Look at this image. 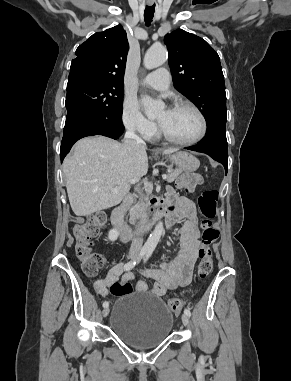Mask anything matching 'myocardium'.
Returning <instances> with one entry per match:
<instances>
[{
  "instance_id": "obj_1",
  "label": "myocardium",
  "mask_w": 291,
  "mask_h": 381,
  "mask_svg": "<svg viewBox=\"0 0 291 381\" xmlns=\"http://www.w3.org/2000/svg\"><path fill=\"white\" fill-rule=\"evenodd\" d=\"M183 107L190 108L199 116L200 121H201V129H200V132L198 133V135L196 137H194L193 139H190V140H179V139L172 137L167 132H165L159 123L157 125L158 134L163 139H165L166 141H168L172 144L180 145V146H191V145H194V144L200 142L205 137L207 130H208V122H207V118H206L205 114L202 112V110L197 105H195L194 103H192L190 101H186V100L177 101L170 107V109H177V108H183Z\"/></svg>"
}]
</instances>
